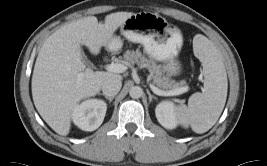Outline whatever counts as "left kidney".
<instances>
[{
    "mask_svg": "<svg viewBox=\"0 0 267 166\" xmlns=\"http://www.w3.org/2000/svg\"><path fill=\"white\" fill-rule=\"evenodd\" d=\"M155 114L158 122L166 129H174L178 120L176 110L172 102L163 101L156 106Z\"/></svg>",
    "mask_w": 267,
    "mask_h": 166,
    "instance_id": "left-kidney-1",
    "label": "left kidney"
}]
</instances>
